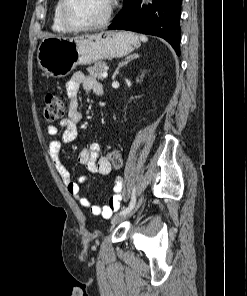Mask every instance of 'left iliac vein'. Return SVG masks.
Instances as JSON below:
<instances>
[{
    "label": "left iliac vein",
    "instance_id": "1",
    "mask_svg": "<svg viewBox=\"0 0 247 296\" xmlns=\"http://www.w3.org/2000/svg\"><path fill=\"white\" fill-rule=\"evenodd\" d=\"M142 201H143V197H141V198L139 199L138 204L135 206V208H134L132 211H130V212H128V213H119L118 215H115V216L112 218L111 223H112L113 225H116V224L121 223L122 221H124V220L127 219L128 217H130V216H131V215H132V214L138 209V207L141 205Z\"/></svg>",
    "mask_w": 247,
    "mask_h": 296
}]
</instances>
